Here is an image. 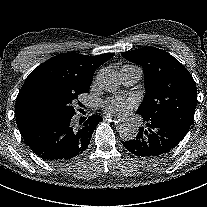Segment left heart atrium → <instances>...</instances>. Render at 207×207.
<instances>
[{"instance_id":"left-heart-atrium-1","label":"left heart atrium","mask_w":207,"mask_h":207,"mask_svg":"<svg viewBox=\"0 0 207 207\" xmlns=\"http://www.w3.org/2000/svg\"><path fill=\"white\" fill-rule=\"evenodd\" d=\"M137 105L138 102L135 99L114 96L105 100L102 107L108 115L124 119L131 115Z\"/></svg>"}]
</instances>
